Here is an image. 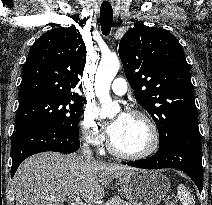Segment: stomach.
<instances>
[{
    "label": "stomach",
    "mask_w": 212,
    "mask_h": 205,
    "mask_svg": "<svg viewBox=\"0 0 212 205\" xmlns=\"http://www.w3.org/2000/svg\"><path fill=\"white\" fill-rule=\"evenodd\" d=\"M119 184L133 205H158L167 196L171 185L161 172L142 169L121 175Z\"/></svg>",
    "instance_id": "obj_1"
}]
</instances>
